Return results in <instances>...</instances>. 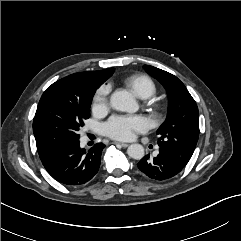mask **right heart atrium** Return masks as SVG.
Masks as SVG:
<instances>
[{
  "mask_svg": "<svg viewBox=\"0 0 241 241\" xmlns=\"http://www.w3.org/2000/svg\"><path fill=\"white\" fill-rule=\"evenodd\" d=\"M110 93V86L108 84L102 85L94 95L93 109L95 111H105L108 106V96Z\"/></svg>",
  "mask_w": 241,
  "mask_h": 241,
  "instance_id": "d8ad5b80",
  "label": "right heart atrium"
}]
</instances>
